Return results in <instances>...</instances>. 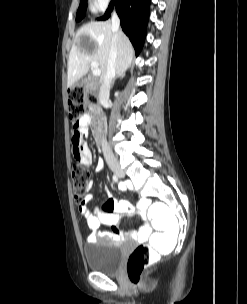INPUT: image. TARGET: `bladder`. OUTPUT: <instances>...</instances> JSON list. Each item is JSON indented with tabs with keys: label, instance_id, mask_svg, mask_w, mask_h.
Wrapping results in <instances>:
<instances>
[{
	"label": "bladder",
	"instance_id": "31cf9c89",
	"mask_svg": "<svg viewBox=\"0 0 247 304\" xmlns=\"http://www.w3.org/2000/svg\"><path fill=\"white\" fill-rule=\"evenodd\" d=\"M123 254L122 243L107 238L98 239L84 247L89 269L105 274H115L119 270Z\"/></svg>",
	"mask_w": 247,
	"mask_h": 304
}]
</instances>
